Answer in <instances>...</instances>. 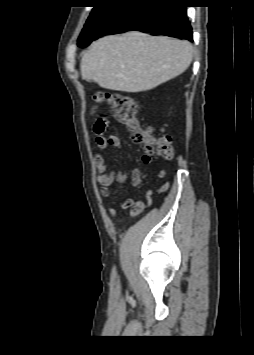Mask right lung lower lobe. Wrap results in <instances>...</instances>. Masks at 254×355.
Masks as SVG:
<instances>
[{
    "mask_svg": "<svg viewBox=\"0 0 254 355\" xmlns=\"http://www.w3.org/2000/svg\"><path fill=\"white\" fill-rule=\"evenodd\" d=\"M186 7L183 0H135L119 4L92 41L132 30L193 41ZM92 41L78 40V46L86 47Z\"/></svg>",
    "mask_w": 254,
    "mask_h": 355,
    "instance_id": "right-lung-lower-lobe-1",
    "label": "right lung lower lobe"
}]
</instances>
